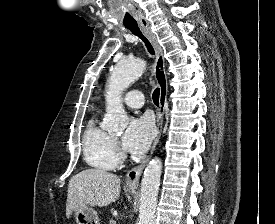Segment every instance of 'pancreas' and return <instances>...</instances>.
Returning a JSON list of instances; mask_svg holds the SVG:
<instances>
[{"label": "pancreas", "instance_id": "cf45deb5", "mask_svg": "<svg viewBox=\"0 0 275 224\" xmlns=\"http://www.w3.org/2000/svg\"><path fill=\"white\" fill-rule=\"evenodd\" d=\"M109 224H116V223H115L114 220L111 219V220L109 221Z\"/></svg>", "mask_w": 275, "mask_h": 224}]
</instances>
